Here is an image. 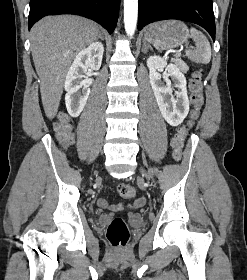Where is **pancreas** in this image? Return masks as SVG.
<instances>
[{
    "mask_svg": "<svg viewBox=\"0 0 247 280\" xmlns=\"http://www.w3.org/2000/svg\"><path fill=\"white\" fill-rule=\"evenodd\" d=\"M173 61L180 67V69L184 73H186L188 71L189 68L184 61H182L181 59H174Z\"/></svg>",
    "mask_w": 247,
    "mask_h": 280,
    "instance_id": "obj_1",
    "label": "pancreas"
}]
</instances>
